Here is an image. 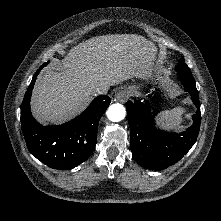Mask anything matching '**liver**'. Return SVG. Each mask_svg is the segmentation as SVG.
I'll list each match as a JSON object with an SVG mask.
<instances>
[{
    "instance_id": "1",
    "label": "liver",
    "mask_w": 221,
    "mask_h": 221,
    "mask_svg": "<svg viewBox=\"0 0 221 221\" xmlns=\"http://www.w3.org/2000/svg\"><path fill=\"white\" fill-rule=\"evenodd\" d=\"M154 44L135 34L91 38L73 47L57 71L46 70L36 81L31 108L41 123H61L85 109L98 88L145 77L155 54Z\"/></svg>"
}]
</instances>
